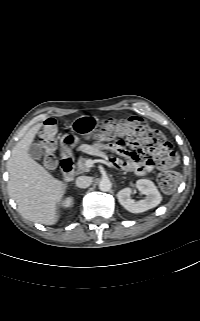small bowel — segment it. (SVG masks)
Masks as SVG:
<instances>
[{"label": "small bowel", "mask_w": 200, "mask_h": 321, "mask_svg": "<svg viewBox=\"0 0 200 321\" xmlns=\"http://www.w3.org/2000/svg\"><path fill=\"white\" fill-rule=\"evenodd\" d=\"M113 151L115 150L123 157L128 158V160L117 159L114 157L109 158L111 166L115 169L122 171H133L138 175L146 174L153 170L155 165V160L153 159H141L135 153L131 152L130 149L126 148L120 143L110 142L108 145H92L84 147V150L91 152H100L105 149Z\"/></svg>", "instance_id": "1"}]
</instances>
